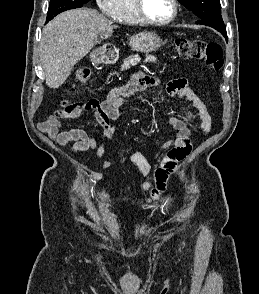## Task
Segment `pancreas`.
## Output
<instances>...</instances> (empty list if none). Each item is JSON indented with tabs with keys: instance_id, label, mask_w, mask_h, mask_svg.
<instances>
[{
	"instance_id": "1",
	"label": "pancreas",
	"mask_w": 259,
	"mask_h": 294,
	"mask_svg": "<svg viewBox=\"0 0 259 294\" xmlns=\"http://www.w3.org/2000/svg\"><path fill=\"white\" fill-rule=\"evenodd\" d=\"M140 57L139 55H134L128 57L126 60H124L123 65L121 66L122 70L129 69L130 66H135L140 62ZM145 63H155L156 62V57L152 55H146V58L144 60Z\"/></svg>"
}]
</instances>
